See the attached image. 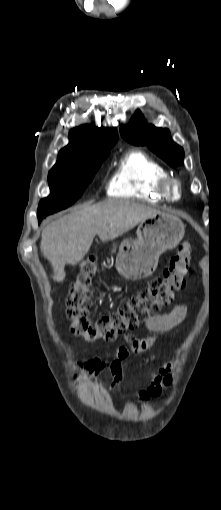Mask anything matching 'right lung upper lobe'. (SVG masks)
<instances>
[{"label":"right lung upper lobe","mask_w":221,"mask_h":510,"mask_svg":"<svg viewBox=\"0 0 221 510\" xmlns=\"http://www.w3.org/2000/svg\"><path fill=\"white\" fill-rule=\"evenodd\" d=\"M70 142L58 155L57 162L75 161L80 158L98 155L110 151L118 140L114 128H98L84 125L69 133Z\"/></svg>","instance_id":"cb5924a9"}]
</instances>
